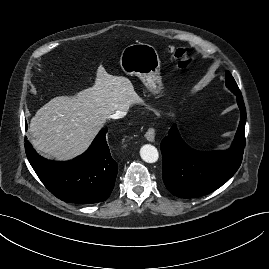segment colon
I'll return each mask as SVG.
<instances>
[{
	"mask_svg": "<svg viewBox=\"0 0 269 269\" xmlns=\"http://www.w3.org/2000/svg\"><path fill=\"white\" fill-rule=\"evenodd\" d=\"M172 55L178 60V67L180 69H188L195 65L196 59L192 55L191 50L188 47H170Z\"/></svg>",
	"mask_w": 269,
	"mask_h": 269,
	"instance_id": "5ec220e1",
	"label": "colon"
}]
</instances>
